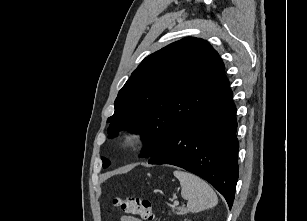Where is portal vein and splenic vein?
<instances>
[{
  "label": "portal vein and splenic vein",
  "instance_id": "1",
  "mask_svg": "<svg viewBox=\"0 0 307 221\" xmlns=\"http://www.w3.org/2000/svg\"><path fill=\"white\" fill-rule=\"evenodd\" d=\"M179 202L178 201H174V206H178Z\"/></svg>",
  "mask_w": 307,
  "mask_h": 221
}]
</instances>
